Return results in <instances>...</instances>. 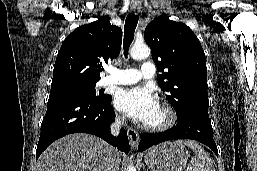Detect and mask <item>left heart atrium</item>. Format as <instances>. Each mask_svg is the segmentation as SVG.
<instances>
[{"label": "left heart atrium", "mask_w": 257, "mask_h": 171, "mask_svg": "<svg viewBox=\"0 0 257 171\" xmlns=\"http://www.w3.org/2000/svg\"><path fill=\"white\" fill-rule=\"evenodd\" d=\"M115 107L130 118L146 123L159 107L157 96L146 87L120 90L114 98Z\"/></svg>", "instance_id": "left-heart-atrium-1"}]
</instances>
